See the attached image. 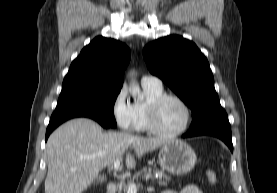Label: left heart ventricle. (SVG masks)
Masks as SVG:
<instances>
[{"instance_id": "left-heart-ventricle-1", "label": "left heart ventricle", "mask_w": 277, "mask_h": 193, "mask_svg": "<svg viewBox=\"0 0 277 193\" xmlns=\"http://www.w3.org/2000/svg\"><path fill=\"white\" fill-rule=\"evenodd\" d=\"M185 119V110L176 100L167 99L161 104L158 122L164 131L173 132L180 129L184 125Z\"/></svg>"}]
</instances>
